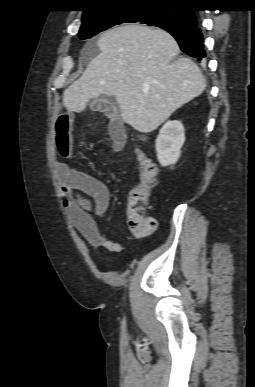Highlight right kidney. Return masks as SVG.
Wrapping results in <instances>:
<instances>
[{
  "label": "right kidney",
  "mask_w": 255,
  "mask_h": 387,
  "mask_svg": "<svg viewBox=\"0 0 255 387\" xmlns=\"http://www.w3.org/2000/svg\"><path fill=\"white\" fill-rule=\"evenodd\" d=\"M185 142L184 126L180 121H168L156 139L157 159L162 167L174 165Z\"/></svg>",
  "instance_id": "1"
}]
</instances>
